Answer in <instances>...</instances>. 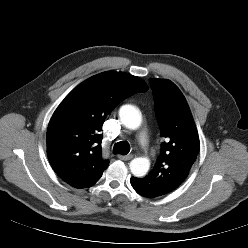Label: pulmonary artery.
Here are the masks:
<instances>
[{"label":"pulmonary artery","mask_w":248,"mask_h":248,"mask_svg":"<svg viewBox=\"0 0 248 248\" xmlns=\"http://www.w3.org/2000/svg\"><path fill=\"white\" fill-rule=\"evenodd\" d=\"M146 138H147L146 133L145 132H141L140 135H139V141L141 143H144V142H146Z\"/></svg>","instance_id":"pulmonary-artery-1"}]
</instances>
